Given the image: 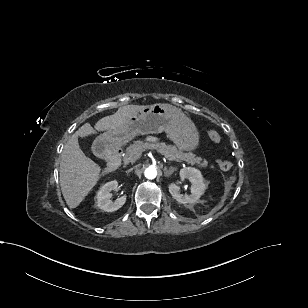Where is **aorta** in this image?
<instances>
[{
  "label": "aorta",
  "instance_id": "aorta-1",
  "mask_svg": "<svg viewBox=\"0 0 308 308\" xmlns=\"http://www.w3.org/2000/svg\"><path fill=\"white\" fill-rule=\"evenodd\" d=\"M144 175L147 179H154L157 176V170L154 166H149L145 169Z\"/></svg>",
  "mask_w": 308,
  "mask_h": 308
}]
</instances>
